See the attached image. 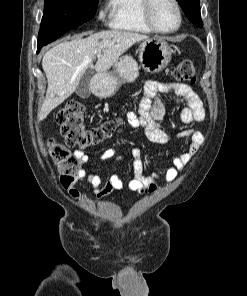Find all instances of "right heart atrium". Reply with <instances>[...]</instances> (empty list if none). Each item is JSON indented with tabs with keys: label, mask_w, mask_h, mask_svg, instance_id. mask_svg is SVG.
Listing matches in <instances>:
<instances>
[{
	"label": "right heart atrium",
	"mask_w": 247,
	"mask_h": 296,
	"mask_svg": "<svg viewBox=\"0 0 247 296\" xmlns=\"http://www.w3.org/2000/svg\"><path fill=\"white\" fill-rule=\"evenodd\" d=\"M98 18L101 21H105L107 19V11L104 8L99 9Z\"/></svg>",
	"instance_id": "right-heart-atrium-1"
}]
</instances>
